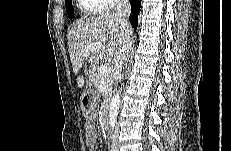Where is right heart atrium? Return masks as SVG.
Masks as SVG:
<instances>
[{
    "mask_svg": "<svg viewBox=\"0 0 231 151\" xmlns=\"http://www.w3.org/2000/svg\"><path fill=\"white\" fill-rule=\"evenodd\" d=\"M87 1L98 3L102 11L115 10L118 7H120L123 3L122 0H87Z\"/></svg>",
    "mask_w": 231,
    "mask_h": 151,
    "instance_id": "d8ad5b80",
    "label": "right heart atrium"
}]
</instances>
